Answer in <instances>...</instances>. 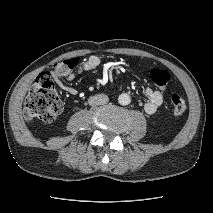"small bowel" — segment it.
I'll return each instance as SVG.
<instances>
[{
  "label": "small bowel",
  "mask_w": 213,
  "mask_h": 213,
  "mask_svg": "<svg viewBox=\"0 0 213 213\" xmlns=\"http://www.w3.org/2000/svg\"><path fill=\"white\" fill-rule=\"evenodd\" d=\"M102 65L101 59L96 55H91L88 58L84 59L82 62H78L73 71L68 72L64 77L67 81H71L75 78L76 75L81 74L86 71H92L99 68ZM110 65L106 64L103 66L104 71L110 69ZM60 87L71 95H76L77 90L71 86L66 85L63 82H59ZM145 95L147 96V102L144 105V111L148 115H153L159 109L163 103V95L160 91L153 89L151 87H146L144 90Z\"/></svg>",
  "instance_id": "c3829d8e"
}]
</instances>
